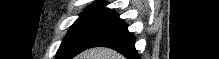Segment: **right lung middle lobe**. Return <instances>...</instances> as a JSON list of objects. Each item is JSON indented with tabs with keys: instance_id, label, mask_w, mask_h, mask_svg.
Wrapping results in <instances>:
<instances>
[{
	"instance_id": "obj_1",
	"label": "right lung middle lobe",
	"mask_w": 219,
	"mask_h": 59,
	"mask_svg": "<svg viewBox=\"0 0 219 59\" xmlns=\"http://www.w3.org/2000/svg\"><path fill=\"white\" fill-rule=\"evenodd\" d=\"M124 22L113 12L81 13L57 51L56 59H72Z\"/></svg>"
}]
</instances>
